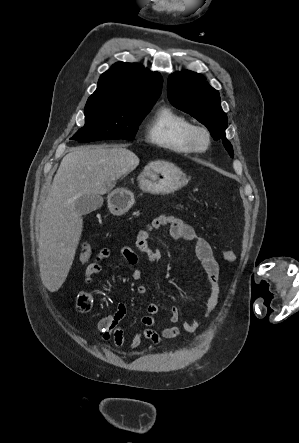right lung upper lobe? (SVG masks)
Wrapping results in <instances>:
<instances>
[{"label":"right lung upper lobe","mask_w":299,"mask_h":443,"mask_svg":"<svg viewBox=\"0 0 299 443\" xmlns=\"http://www.w3.org/2000/svg\"><path fill=\"white\" fill-rule=\"evenodd\" d=\"M162 77L142 65L118 62L103 73L89 98L131 103H155L161 94Z\"/></svg>","instance_id":"right-lung-upper-lobe-1"}]
</instances>
